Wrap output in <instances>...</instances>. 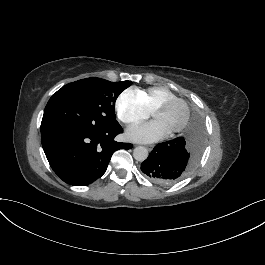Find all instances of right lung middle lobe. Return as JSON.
<instances>
[{
	"label": "right lung middle lobe",
	"instance_id": "1",
	"mask_svg": "<svg viewBox=\"0 0 265 265\" xmlns=\"http://www.w3.org/2000/svg\"><path fill=\"white\" fill-rule=\"evenodd\" d=\"M131 84L91 77L63 86L46 105L41 135L64 128L107 130L119 126L114 104Z\"/></svg>",
	"mask_w": 265,
	"mask_h": 265
}]
</instances>
